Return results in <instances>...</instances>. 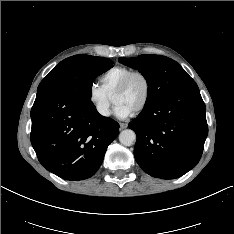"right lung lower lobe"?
<instances>
[{
	"instance_id": "right-lung-lower-lobe-1",
	"label": "right lung lower lobe",
	"mask_w": 234,
	"mask_h": 234,
	"mask_svg": "<svg viewBox=\"0 0 234 234\" xmlns=\"http://www.w3.org/2000/svg\"><path fill=\"white\" fill-rule=\"evenodd\" d=\"M31 119V143L39 162L66 180L94 175L119 134L116 121L101 116L70 88L37 92Z\"/></svg>"
}]
</instances>
